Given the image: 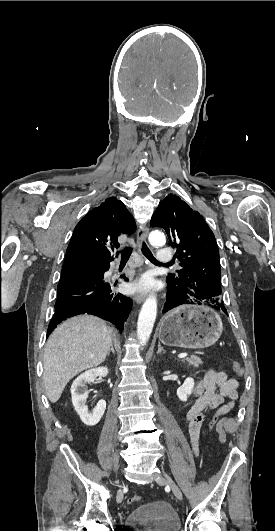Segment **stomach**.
Returning <instances> with one entry per match:
<instances>
[{"label":"stomach","instance_id":"obj_1","mask_svg":"<svg viewBox=\"0 0 275 531\" xmlns=\"http://www.w3.org/2000/svg\"><path fill=\"white\" fill-rule=\"evenodd\" d=\"M223 323L220 315L201 301H182L181 307L167 313L160 321L159 341L167 347L206 349L220 339Z\"/></svg>","mask_w":275,"mask_h":531}]
</instances>
